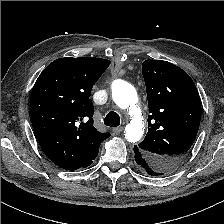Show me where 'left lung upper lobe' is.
Masks as SVG:
<instances>
[{
	"label": "left lung upper lobe",
	"mask_w": 224,
	"mask_h": 224,
	"mask_svg": "<svg viewBox=\"0 0 224 224\" xmlns=\"http://www.w3.org/2000/svg\"><path fill=\"white\" fill-rule=\"evenodd\" d=\"M142 73L147 89L148 132L134 146L156 175L174 171L195 141L201 102L197 88L178 66L161 60H146Z\"/></svg>",
	"instance_id": "1"
}]
</instances>
